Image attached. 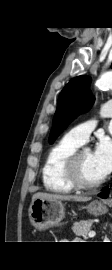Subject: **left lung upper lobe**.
<instances>
[{"label":"left lung upper lobe","mask_w":112,"mask_h":270,"mask_svg":"<svg viewBox=\"0 0 112 270\" xmlns=\"http://www.w3.org/2000/svg\"><path fill=\"white\" fill-rule=\"evenodd\" d=\"M90 82V77L78 76L63 88L58 98L57 110L53 119L49 136L50 143L54 142L72 120L80 113L88 111L93 104L95 98L89 89Z\"/></svg>","instance_id":"left-lung-upper-lobe-1"}]
</instances>
